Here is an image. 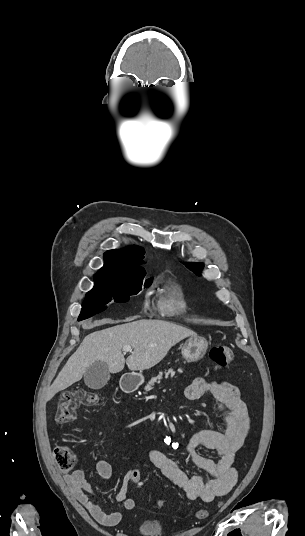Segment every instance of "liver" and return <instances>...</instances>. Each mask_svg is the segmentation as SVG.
<instances>
[{"label":"liver","instance_id":"liver-1","mask_svg":"<svg viewBox=\"0 0 305 536\" xmlns=\"http://www.w3.org/2000/svg\"><path fill=\"white\" fill-rule=\"evenodd\" d=\"M139 316L127 318L129 324L113 326L101 332H93L84 338L75 354L69 358L67 364L59 372L52 386L46 390L45 402L52 400L53 396L61 390H66L75 382H79L94 362H106L109 372L117 374L122 372L125 364L129 370H149L165 358L172 346L196 336L195 332L163 322V320H137ZM101 324H116L114 320H101ZM123 346H131L133 352L124 358Z\"/></svg>","mask_w":305,"mask_h":536}]
</instances>
